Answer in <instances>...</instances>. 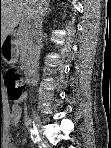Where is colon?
<instances>
[{"label": "colon", "instance_id": "colon-1", "mask_svg": "<svg viewBox=\"0 0 111 148\" xmlns=\"http://www.w3.org/2000/svg\"><path fill=\"white\" fill-rule=\"evenodd\" d=\"M7 87L8 97L12 100H19L25 93L21 76L14 70H8L3 75Z\"/></svg>", "mask_w": 111, "mask_h": 148}]
</instances>
